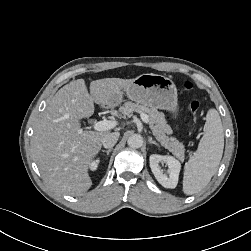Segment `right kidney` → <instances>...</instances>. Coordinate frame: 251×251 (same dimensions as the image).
<instances>
[{"label":"right kidney","instance_id":"right-kidney-1","mask_svg":"<svg viewBox=\"0 0 251 251\" xmlns=\"http://www.w3.org/2000/svg\"><path fill=\"white\" fill-rule=\"evenodd\" d=\"M98 164H99V160H94V161H92L91 163H90V169L91 170H96L97 169V167H98Z\"/></svg>","mask_w":251,"mask_h":251}]
</instances>
